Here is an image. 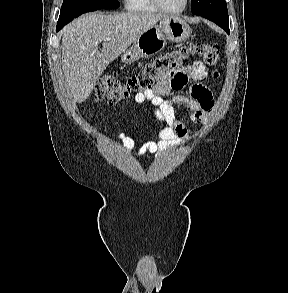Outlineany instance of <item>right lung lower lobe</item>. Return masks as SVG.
Masks as SVG:
<instances>
[{"instance_id":"98d812e1","label":"right lung lower lobe","mask_w":288,"mask_h":293,"mask_svg":"<svg viewBox=\"0 0 288 293\" xmlns=\"http://www.w3.org/2000/svg\"><path fill=\"white\" fill-rule=\"evenodd\" d=\"M62 28H63V27H61V28L57 27L56 31H59V30L62 29Z\"/></svg>"}]
</instances>
